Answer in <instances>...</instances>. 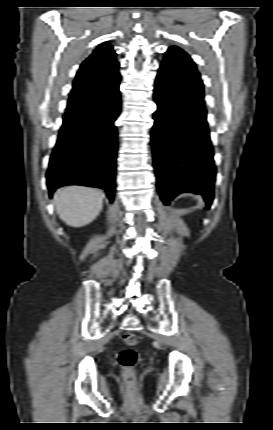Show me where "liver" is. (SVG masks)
<instances>
[{
	"instance_id": "1",
	"label": "liver",
	"mask_w": 273,
	"mask_h": 430,
	"mask_svg": "<svg viewBox=\"0 0 273 430\" xmlns=\"http://www.w3.org/2000/svg\"><path fill=\"white\" fill-rule=\"evenodd\" d=\"M103 194L92 188L68 186L56 191L54 205L61 220L72 227L91 223L102 210Z\"/></svg>"
}]
</instances>
